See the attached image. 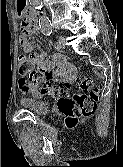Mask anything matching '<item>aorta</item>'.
Instances as JSON below:
<instances>
[{"instance_id": "1", "label": "aorta", "mask_w": 123, "mask_h": 167, "mask_svg": "<svg viewBox=\"0 0 123 167\" xmlns=\"http://www.w3.org/2000/svg\"><path fill=\"white\" fill-rule=\"evenodd\" d=\"M31 3L37 10H41V8L43 7L42 0H31ZM39 26L43 33H49L51 31L50 20L45 15L40 16Z\"/></svg>"}]
</instances>
